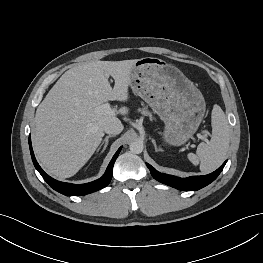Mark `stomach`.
Instances as JSON below:
<instances>
[{"label": "stomach", "mask_w": 263, "mask_h": 263, "mask_svg": "<svg viewBox=\"0 0 263 263\" xmlns=\"http://www.w3.org/2000/svg\"><path fill=\"white\" fill-rule=\"evenodd\" d=\"M129 85L164 122L166 143L181 146L197 131L205 114V100L177 67L159 58L137 59Z\"/></svg>", "instance_id": "stomach-1"}]
</instances>
